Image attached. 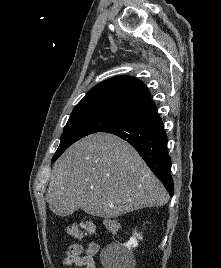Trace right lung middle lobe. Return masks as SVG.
<instances>
[{"label":"right lung middle lobe","mask_w":221,"mask_h":268,"mask_svg":"<svg viewBox=\"0 0 221 268\" xmlns=\"http://www.w3.org/2000/svg\"><path fill=\"white\" fill-rule=\"evenodd\" d=\"M124 121L123 117L104 110L72 112L63 130L60 145L52 160H56L71 144L82 137L105 131Z\"/></svg>","instance_id":"obj_1"}]
</instances>
